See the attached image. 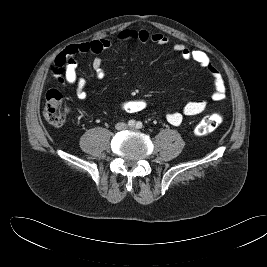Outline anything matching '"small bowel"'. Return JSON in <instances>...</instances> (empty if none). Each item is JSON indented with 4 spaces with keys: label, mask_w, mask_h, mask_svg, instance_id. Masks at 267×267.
Listing matches in <instances>:
<instances>
[{
    "label": "small bowel",
    "mask_w": 267,
    "mask_h": 267,
    "mask_svg": "<svg viewBox=\"0 0 267 267\" xmlns=\"http://www.w3.org/2000/svg\"><path fill=\"white\" fill-rule=\"evenodd\" d=\"M152 42L158 46H165L169 39L159 32H149L145 29H123L114 38H102L78 44H72L66 47L55 59L53 66V76L64 86L75 87V94L79 100L87 97L86 79L77 73L76 57L80 54L91 53L95 57L92 61V69L97 78H103L105 70L102 66L100 54L115 43L123 42ZM173 50L183 59L196 62L200 67L206 69L212 79L214 91L211 99L221 101L226 97V84L221 72L212 64L209 56L202 50L189 49L182 43H175ZM207 99H198L187 102L180 111H170L166 113L167 121L173 126H180L184 116H194L203 113L208 107Z\"/></svg>",
    "instance_id": "small-bowel-1"
}]
</instances>
